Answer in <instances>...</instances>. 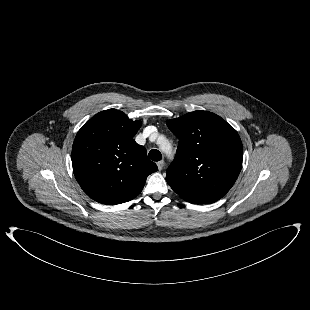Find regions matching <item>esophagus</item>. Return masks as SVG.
Masks as SVG:
<instances>
[{"mask_svg":"<svg viewBox=\"0 0 310 310\" xmlns=\"http://www.w3.org/2000/svg\"><path fill=\"white\" fill-rule=\"evenodd\" d=\"M157 167H158V170L161 171L164 167V161L157 162Z\"/></svg>","mask_w":310,"mask_h":310,"instance_id":"obj_1","label":"esophagus"}]
</instances>
